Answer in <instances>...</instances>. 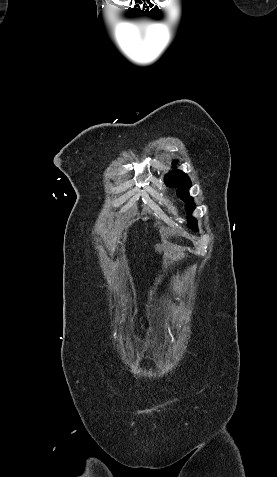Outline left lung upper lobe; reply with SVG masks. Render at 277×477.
Segmentation results:
<instances>
[{
    "instance_id": "5c2ea615",
    "label": "left lung upper lobe",
    "mask_w": 277,
    "mask_h": 477,
    "mask_svg": "<svg viewBox=\"0 0 277 477\" xmlns=\"http://www.w3.org/2000/svg\"><path fill=\"white\" fill-rule=\"evenodd\" d=\"M177 161H174V166L176 165ZM165 183L168 186H175L178 187L177 194L178 196L186 203V210L188 214V226L198 231L196 219L191 217L190 214L195 208V204L193 202V198L189 196L188 190L191 187V181L187 174L180 170H173L168 175L165 176Z\"/></svg>"
}]
</instances>
